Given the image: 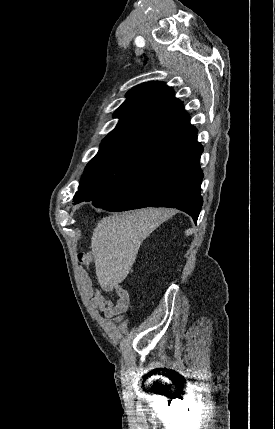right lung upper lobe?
<instances>
[{
  "mask_svg": "<svg viewBox=\"0 0 275 429\" xmlns=\"http://www.w3.org/2000/svg\"><path fill=\"white\" fill-rule=\"evenodd\" d=\"M126 97L114 113L119 122L105 137L99 152L120 149L151 158L197 134L182 103L165 83L140 84Z\"/></svg>",
  "mask_w": 275,
  "mask_h": 429,
  "instance_id": "obj_1",
  "label": "right lung upper lobe"
}]
</instances>
